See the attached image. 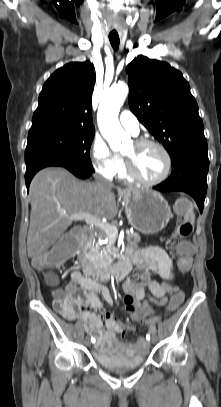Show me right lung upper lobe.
<instances>
[{
  "mask_svg": "<svg viewBox=\"0 0 221 407\" xmlns=\"http://www.w3.org/2000/svg\"><path fill=\"white\" fill-rule=\"evenodd\" d=\"M95 80V68L88 61L55 71L39 95L30 129L63 126L95 131L91 117Z\"/></svg>",
  "mask_w": 221,
  "mask_h": 407,
  "instance_id": "cb5924a9",
  "label": "right lung upper lobe"
}]
</instances>
